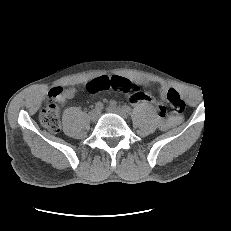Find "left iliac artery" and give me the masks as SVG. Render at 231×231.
<instances>
[{"label": "left iliac artery", "mask_w": 231, "mask_h": 231, "mask_svg": "<svg viewBox=\"0 0 231 231\" xmlns=\"http://www.w3.org/2000/svg\"><path fill=\"white\" fill-rule=\"evenodd\" d=\"M122 109L127 113H130V111H131V108L127 105L122 106Z\"/></svg>", "instance_id": "1"}]
</instances>
